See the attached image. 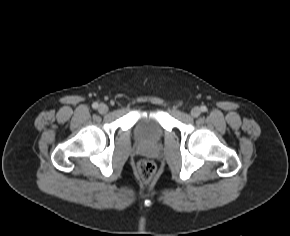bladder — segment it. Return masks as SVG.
<instances>
[{
  "mask_svg": "<svg viewBox=\"0 0 290 236\" xmlns=\"http://www.w3.org/2000/svg\"><path fill=\"white\" fill-rule=\"evenodd\" d=\"M163 128L157 113L142 116L136 125V135L143 142H155L162 137Z\"/></svg>",
  "mask_w": 290,
  "mask_h": 236,
  "instance_id": "bladder-1",
  "label": "bladder"
}]
</instances>
